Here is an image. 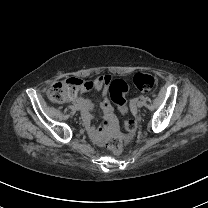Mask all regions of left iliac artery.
Returning <instances> with one entry per match:
<instances>
[{
  "instance_id": "obj_1",
  "label": "left iliac artery",
  "mask_w": 208,
  "mask_h": 208,
  "mask_svg": "<svg viewBox=\"0 0 208 208\" xmlns=\"http://www.w3.org/2000/svg\"><path fill=\"white\" fill-rule=\"evenodd\" d=\"M140 99H142V100H143V99H144V96H143V95H141V96H140Z\"/></svg>"
}]
</instances>
